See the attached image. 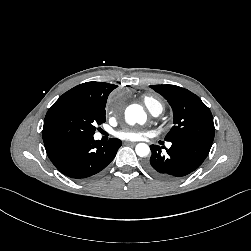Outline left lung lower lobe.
Wrapping results in <instances>:
<instances>
[{"label": "left lung lower lobe", "mask_w": 251, "mask_h": 251, "mask_svg": "<svg viewBox=\"0 0 251 251\" xmlns=\"http://www.w3.org/2000/svg\"><path fill=\"white\" fill-rule=\"evenodd\" d=\"M172 142V146L163 154L157 145H151L152 152L147 170L164 181L178 180L197 169L205 160L212 143L198 139H181Z\"/></svg>", "instance_id": "obj_1"}]
</instances>
